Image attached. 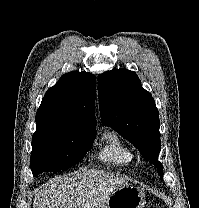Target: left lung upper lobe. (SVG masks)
I'll use <instances>...</instances> for the list:
<instances>
[{
    "label": "left lung upper lobe",
    "mask_w": 199,
    "mask_h": 208,
    "mask_svg": "<svg viewBox=\"0 0 199 208\" xmlns=\"http://www.w3.org/2000/svg\"><path fill=\"white\" fill-rule=\"evenodd\" d=\"M98 98L103 125L128 139L163 178V166L158 161L161 149L158 109L136 73L123 68L100 74Z\"/></svg>",
    "instance_id": "5c2ea615"
}]
</instances>
